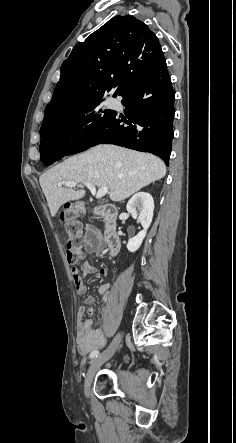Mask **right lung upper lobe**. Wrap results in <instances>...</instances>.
Returning a JSON list of instances; mask_svg holds the SVG:
<instances>
[{
  "instance_id": "1",
  "label": "right lung upper lobe",
  "mask_w": 236,
  "mask_h": 443,
  "mask_svg": "<svg viewBox=\"0 0 236 443\" xmlns=\"http://www.w3.org/2000/svg\"><path fill=\"white\" fill-rule=\"evenodd\" d=\"M162 57L158 38L145 23L130 15L115 16L78 43L63 62L44 120L110 91L120 95Z\"/></svg>"
}]
</instances>
